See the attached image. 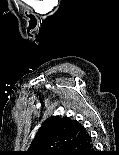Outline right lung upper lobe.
I'll return each instance as SVG.
<instances>
[{"label": "right lung upper lobe", "instance_id": "right-lung-upper-lobe-1", "mask_svg": "<svg viewBox=\"0 0 119 155\" xmlns=\"http://www.w3.org/2000/svg\"><path fill=\"white\" fill-rule=\"evenodd\" d=\"M85 135V128L78 121L52 116L39 128L26 155H62Z\"/></svg>", "mask_w": 119, "mask_h": 155}]
</instances>
